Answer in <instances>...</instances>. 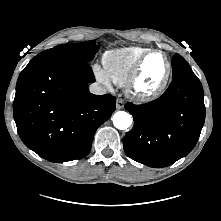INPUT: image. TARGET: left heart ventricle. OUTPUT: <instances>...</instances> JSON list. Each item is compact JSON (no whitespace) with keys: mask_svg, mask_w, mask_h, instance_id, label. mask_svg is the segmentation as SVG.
<instances>
[{"mask_svg":"<svg viewBox=\"0 0 221 221\" xmlns=\"http://www.w3.org/2000/svg\"><path fill=\"white\" fill-rule=\"evenodd\" d=\"M167 70V64L162 54H152L144 63L140 77L139 88L152 90L158 86Z\"/></svg>","mask_w":221,"mask_h":221,"instance_id":"left-heart-ventricle-1","label":"left heart ventricle"}]
</instances>
